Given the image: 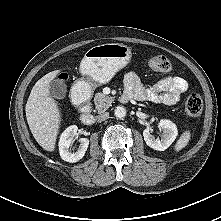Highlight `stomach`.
Segmentation results:
<instances>
[{"label": "stomach", "instance_id": "stomach-1", "mask_svg": "<svg viewBox=\"0 0 221 221\" xmlns=\"http://www.w3.org/2000/svg\"><path fill=\"white\" fill-rule=\"evenodd\" d=\"M131 49L119 43H108L90 48L80 63L83 84L89 90L97 84L109 82L131 60Z\"/></svg>", "mask_w": 221, "mask_h": 221}]
</instances>
